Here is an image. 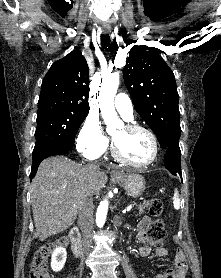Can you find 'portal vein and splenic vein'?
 Returning a JSON list of instances; mask_svg holds the SVG:
<instances>
[{
	"instance_id": "18ae733b",
	"label": "portal vein and splenic vein",
	"mask_w": 221,
	"mask_h": 278,
	"mask_svg": "<svg viewBox=\"0 0 221 278\" xmlns=\"http://www.w3.org/2000/svg\"><path fill=\"white\" fill-rule=\"evenodd\" d=\"M132 209V205H129L125 211H123V213H125L126 211L129 212Z\"/></svg>"
}]
</instances>
